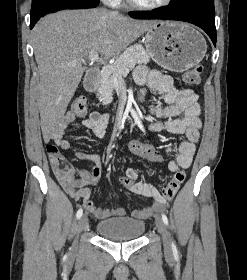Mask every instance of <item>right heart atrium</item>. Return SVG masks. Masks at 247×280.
Segmentation results:
<instances>
[{
    "instance_id": "obj_1",
    "label": "right heart atrium",
    "mask_w": 247,
    "mask_h": 280,
    "mask_svg": "<svg viewBox=\"0 0 247 280\" xmlns=\"http://www.w3.org/2000/svg\"><path fill=\"white\" fill-rule=\"evenodd\" d=\"M105 3H108L110 5H116L118 4L121 0H102Z\"/></svg>"
}]
</instances>
